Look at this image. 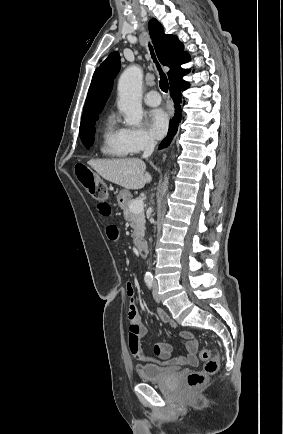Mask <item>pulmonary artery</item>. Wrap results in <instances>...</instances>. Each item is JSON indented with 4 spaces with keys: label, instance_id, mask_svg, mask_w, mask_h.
<instances>
[{
    "label": "pulmonary artery",
    "instance_id": "1",
    "mask_svg": "<svg viewBox=\"0 0 283 434\" xmlns=\"http://www.w3.org/2000/svg\"><path fill=\"white\" fill-rule=\"evenodd\" d=\"M144 102L149 106H158L161 103V97L157 91H149L144 96Z\"/></svg>",
    "mask_w": 283,
    "mask_h": 434
}]
</instances>
